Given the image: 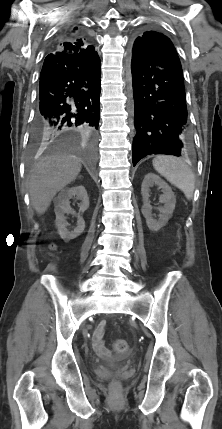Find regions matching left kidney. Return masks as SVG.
Here are the masks:
<instances>
[{"label":"left kidney","mask_w":222,"mask_h":429,"mask_svg":"<svg viewBox=\"0 0 222 429\" xmlns=\"http://www.w3.org/2000/svg\"><path fill=\"white\" fill-rule=\"evenodd\" d=\"M157 185L162 189L163 194L160 196V202L164 204L163 207L158 208L160 215L159 219L155 220L152 217V207L149 204V188ZM141 194L143 197V207L141 209L143 216L146 219L147 226L152 231H158L166 225L171 217L176 204V197L172 192L169 185L163 181L159 176L153 173H148L142 182Z\"/></svg>","instance_id":"1"}]
</instances>
